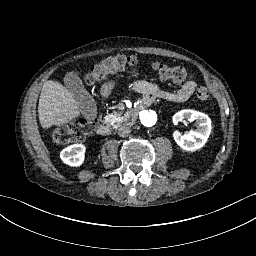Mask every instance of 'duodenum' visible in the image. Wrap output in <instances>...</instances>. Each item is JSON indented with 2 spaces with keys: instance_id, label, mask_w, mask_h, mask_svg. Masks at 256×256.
<instances>
[{
  "instance_id": "duodenum-1",
  "label": "duodenum",
  "mask_w": 256,
  "mask_h": 256,
  "mask_svg": "<svg viewBox=\"0 0 256 256\" xmlns=\"http://www.w3.org/2000/svg\"><path fill=\"white\" fill-rule=\"evenodd\" d=\"M115 88H116L115 83L112 80H109V79L105 80L102 83V86H100L97 89V92H96L97 96L103 100L107 99L110 96V94H112L115 91ZM148 105H149L148 100L146 99L140 100L139 102L133 105L132 107L133 114L135 115L140 114V112L144 110V108L148 107ZM110 132H111V127L106 123H101L97 128L98 135L103 137L108 136Z\"/></svg>"
}]
</instances>
